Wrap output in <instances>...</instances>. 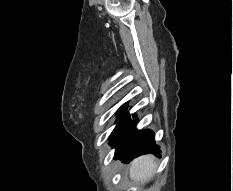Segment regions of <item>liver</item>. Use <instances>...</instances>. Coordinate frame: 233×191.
<instances>
[{"mask_svg": "<svg viewBox=\"0 0 233 191\" xmlns=\"http://www.w3.org/2000/svg\"><path fill=\"white\" fill-rule=\"evenodd\" d=\"M156 168L157 163L154 156H140L130 165V178L136 182L145 183L152 178Z\"/></svg>", "mask_w": 233, "mask_h": 191, "instance_id": "obj_1", "label": "liver"}]
</instances>
